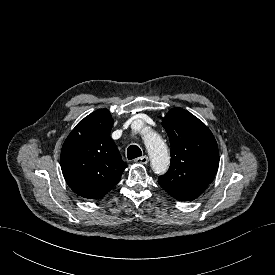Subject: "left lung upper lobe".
<instances>
[{
    "label": "left lung upper lobe",
    "instance_id": "left-lung-upper-lobe-1",
    "mask_svg": "<svg viewBox=\"0 0 275 275\" xmlns=\"http://www.w3.org/2000/svg\"><path fill=\"white\" fill-rule=\"evenodd\" d=\"M171 143V163L159 185L180 201L194 200L210 184L219 166L216 140L209 128L181 108L171 109L162 119Z\"/></svg>",
    "mask_w": 275,
    "mask_h": 275
}]
</instances>
